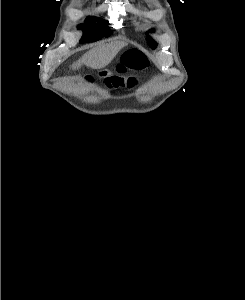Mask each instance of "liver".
<instances>
[{"label":"liver","mask_w":245,"mask_h":300,"mask_svg":"<svg viewBox=\"0 0 245 300\" xmlns=\"http://www.w3.org/2000/svg\"><path fill=\"white\" fill-rule=\"evenodd\" d=\"M124 42H115L112 44H103L96 46L86 52L82 58L73 65V69H79L82 64L93 69H101L107 66L125 46Z\"/></svg>","instance_id":"1"}]
</instances>
